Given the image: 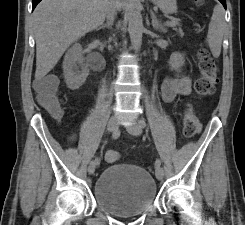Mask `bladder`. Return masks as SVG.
<instances>
[{"label": "bladder", "instance_id": "bladder-1", "mask_svg": "<svg viewBox=\"0 0 245 225\" xmlns=\"http://www.w3.org/2000/svg\"><path fill=\"white\" fill-rule=\"evenodd\" d=\"M95 203L105 212L129 217L143 214L157 199V186L145 168L113 164L96 177L93 190Z\"/></svg>", "mask_w": 245, "mask_h": 225}]
</instances>
